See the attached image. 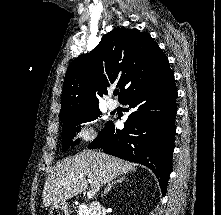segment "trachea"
Returning a JSON list of instances; mask_svg holds the SVG:
<instances>
[{
    "instance_id": "obj_1",
    "label": "trachea",
    "mask_w": 221,
    "mask_h": 215,
    "mask_svg": "<svg viewBox=\"0 0 221 215\" xmlns=\"http://www.w3.org/2000/svg\"><path fill=\"white\" fill-rule=\"evenodd\" d=\"M118 94V91H114V95H117Z\"/></svg>"
}]
</instances>
